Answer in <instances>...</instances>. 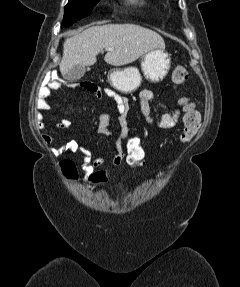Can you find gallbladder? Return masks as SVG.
Masks as SVG:
<instances>
[{"label": "gallbladder", "instance_id": "1", "mask_svg": "<svg viewBox=\"0 0 240 287\" xmlns=\"http://www.w3.org/2000/svg\"><path fill=\"white\" fill-rule=\"evenodd\" d=\"M85 74V66L76 65L74 68L70 69L68 72L63 74V78L67 81H76L81 79Z\"/></svg>", "mask_w": 240, "mask_h": 287}]
</instances>
